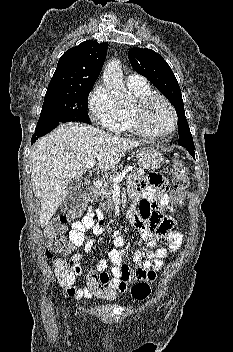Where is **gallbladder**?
Segmentation results:
<instances>
[{
  "label": "gallbladder",
  "mask_w": 233,
  "mask_h": 352,
  "mask_svg": "<svg viewBox=\"0 0 233 352\" xmlns=\"http://www.w3.org/2000/svg\"><path fill=\"white\" fill-rule=\"evenodd\" d=\"M89 186V181L83 179H73L69 185L68 194L64 202L74 205L80 198L83 191ZM63 210H66L64 207Z\"/></svg>",
  "instance_id": "1"
}]
</instances>
